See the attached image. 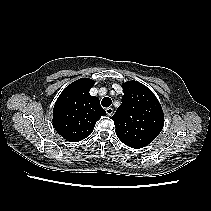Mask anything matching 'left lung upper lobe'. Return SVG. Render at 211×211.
<instances>
[{
	"mask_svg": "<svg viewBox=\"0 0 211 211\" xmlns=\"http://www.w3.org/2000/svg\"><path fill=\"white\" fill-rule=\"evenodd\" d=\"M122 104L112 116L118 138L135 149L150 144L164 126L161 105L145 85L137 81L123 83Z\"/></svg>",
	"mask_w": 211,
	"mask_h": 211,
	"instance_id": "obj_1",
	"label": "left lung upper lobe"
}]
</instances>
